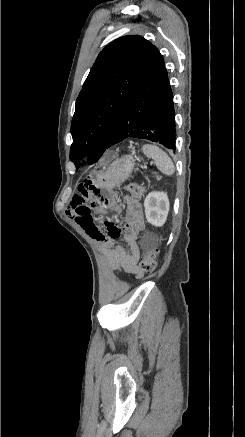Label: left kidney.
<instances>
[{"label":"left kidney","instance_id":"left-kidney-1","mask_svg":"<svg viewBox=\"0 0 245 437\" xmlns=\"http://www.w3.org/2000/svg\"><path fill=\"white\" fill-rule=\"evenodd\" d=\"M169 199L164 192H151L144 200L146 219L156 227L164 225L169 212Z\"/></svg>","mask_w":245,"mask_h":437}]
</instances>
